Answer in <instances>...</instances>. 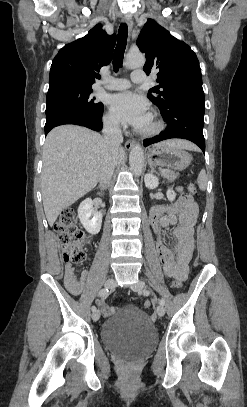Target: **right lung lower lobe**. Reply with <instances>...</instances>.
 Listing matches in <instances>:
<instances>
[{
    "label": "right lung lower lobe",
    "instance_id": "obj_1",
    "mask_svg": "<svg viewBox=\"0 0 247 407\" xmlns=\"http://www.w3.org/2000/svg\"><path fill=\"white\" fill-rule=\"evenodd\" d=\"M103 109L98 113H87L78 110H63L46 115L45 135L59 125L76 124L85 126L95 131L102 129Z\"/></svg>",
    "mask_w": 247,
    "mask_h": 407
}]
</instances>
